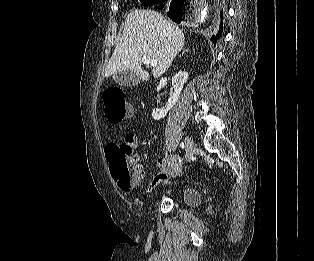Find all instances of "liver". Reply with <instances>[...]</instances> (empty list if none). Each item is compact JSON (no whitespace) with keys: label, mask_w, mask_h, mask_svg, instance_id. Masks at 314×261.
<instances>
[{"label":"liver","mask_w":314,"mask_h":261,"mask_svg":"<svg viewBox=\"0 0 314 261\" xmlns=\"http://www.w3.org/2000/svg\"><path fill=\"white\" fill-rule=\"evenodd\" d=\"M184 43L182 30L158 12L143 9L130 11L125 19L122 38L105 68V76L130 70L141 80L148 81L149 73L141 68L142 58L148 56L157 62L152 75L159 78L168 70Z\"/></svg>","instance_id":"1"}]
</instances>
